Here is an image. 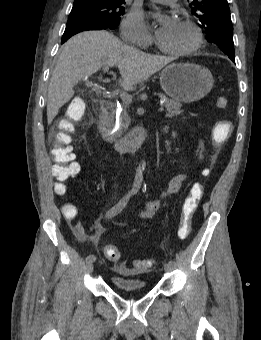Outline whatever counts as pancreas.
<instances>
[{"instance_id": "1", "label": "pancreas", "mask_w": 261, "mask_h": 340, "mask_svg": "<svg viewBox=\"0 0 261 340\" xmlns=\"http://www.w3.org/2000/svg\"><path fill=\"white\" fill-rule=\"evenodd\" d=\"M159 96L164 99L163 106L166 108V117L172 118L174 116L180 115L183 111L181 110V104L165 98L162 94H159ZM130 124V118L126 112V110L122 114V123L120 125V131L124 130L126 131L128 129V126Z\"/></svg>"}]
</instances>
